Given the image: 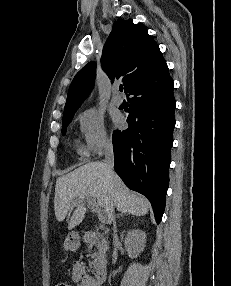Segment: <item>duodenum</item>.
<instances>
[{
  "label": "duodenum",
  "mask_w": 231,
  "mask_h": 286,
  "mask_svg": "<svg viewBox=\"0 0 231 286\" xmlns=\"http://www.w3.org/2000/svg\"><path fill=\"white\" fill-rule=\"evenodd\" d=\"M92 234H86L84 236V239L85 241H89L91 238H92ZM106 278H107V270L105 267L101 266L99 267L97 270H96V273H95V280H96V283H97V286H100L102 285L105 281H106Z\"/></svg>",
  "instance_id": "obj_1"
}]
</instances>
